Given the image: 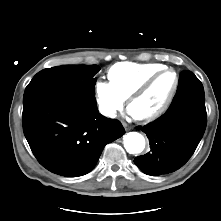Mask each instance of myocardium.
<instances>
[{
  "mask_svg": "<svg viewBox=\"0 0 221 221\" xmlns=\"http://www.w3.org/2000/svg\"><path fill=\"white\" fill-rule=\"evenodd\" d=\"M167 72H172L175 76V84L174 87L169 95V97L167 98V100L165 101V103L163 104V106L156 111L155 113L146 115V116H133V118L137 121L143 122V123H149L152 121L157 120L158 118H160L161 116H163L167 110L169 109V107L171 106L178 88H179V83H180V79H179V74L177 73V71L173 68L170 67H165L157 72H155L154 74H152L138 89H136L128 98L127 101V108L130 110L131 105L138 100L139 98H141L142 96H144L147 91L153 86V84L165 73Z\"/></svg>",
  "mask_w": 221,
  "mask_h": 221,
  "instance_id": "obj_1",
  "label": "myocardium"
}]
</instances>
